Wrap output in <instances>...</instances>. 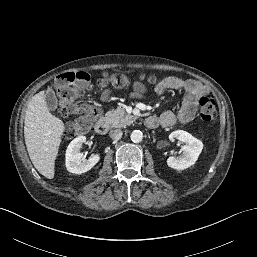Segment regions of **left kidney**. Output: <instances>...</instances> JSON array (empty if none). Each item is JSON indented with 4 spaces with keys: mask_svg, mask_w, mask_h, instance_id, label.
Instances as JSON below:
<instances>
[{
    "mask_svg": "<svg viewBox=\"0 0 257 257\" xmlns=\"http://www.w3.org/2000/svg\"><path fill=\"white\" fill-rule=\"evenodd\" d=\"M170 140L178 139L184 142L183 154L179 157L171 156L167 159V165L175 170H184L191 167L198 160L203 149V143L183 130H176L169 135Z\"/></svg>",
    "mask_w": 257,
    "mask_h": 257,
    "instance_id": "left-kidney-1",
    "label": "left kidney"
}]
</instances>
